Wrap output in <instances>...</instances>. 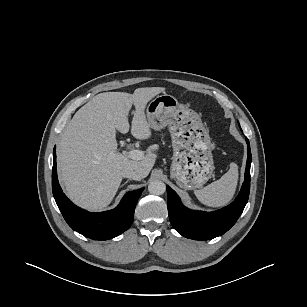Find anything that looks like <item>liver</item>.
Returning <instances> with one entry per match:
<instances>
[{"label": "liver", "instance_id": "liver-1", "mask_svg": "<svg viewBox=\"0 0 307 307\" xmlns=\"http://www.w3.org/2000/svg\"><path fill=\"white\" fill-rule=\"evenodd\" d=\"M163 87L138 88L133 94L105 92L82 106L67 124L57 149V168L68 197L91 211L102 210L113 200L122 181V170H139L142 178L156 160L157 145L142 160H129L117 150L116 131H129L128 113L135 106L131 134L140 140L151 137L144 110Z\"/></svg>", "mask_w": 307, "mask_h": 307}]
</instances>
